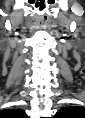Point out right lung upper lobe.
<instances>
[{"mask_svg": "<svg viewBox=\"0 0 85 118\" xmlns=\"http://www.w3.org/2000/svg\"><path fill=\"white\" fill-rule=\"evenodd\" d=\"M9 111L12 113H22V111L17 110V109H9Z\"/></svg>", "mask_w": 85, "mask_h": 118, "instance_id": "right-lung-upper-lobe-1", "label": "right lung upper lobe"}]
</instances>
